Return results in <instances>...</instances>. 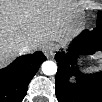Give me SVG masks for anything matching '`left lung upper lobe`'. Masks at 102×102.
Masks as SVG:
<instances>
[{"mask_svg": "<svg viewBox=\"0 0 102 102\" xmlns=\"http://www.w3.org/2000/svg\"><path fill=\"white\" fill-rule=\"evenodd\" d=\"M97 27L98 28H101L102 27V16H101V12L98 13Z\"/></svg>", "mask_w": 102, "mask_h": 102, "instance_id": "obj_1", "label": "left lung upper lobe"}]
</instances>
